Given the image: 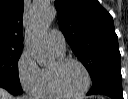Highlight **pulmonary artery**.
Instances as JSON below:
<instances>
[{
    "instance_id": "obj_1",
    "label": "pulmonary artery",
    "mask_w": 128,
    "mask_h": 99,
    "mask_svg": "<svg viewBox=\"0 0 128 99\" xmlns=\"http://www.w3.org/2000/svg\"><path fill=\"white\" fill-rule=\"evenodd\" d=\"M49 45L57 54H64L66 51V42L63 34L58 30H51L48 35Z\"/></svg>"
}]
</instances>
